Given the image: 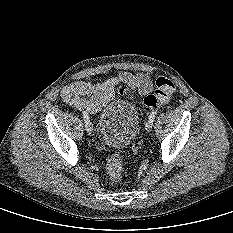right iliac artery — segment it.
I'll use <instances>...</instances> for the list:
<instances>
[{"mask_svg":"<svg viewBox=\"0 0 233 233\" xmlns=\"http://www.w3.org/2000/svg\"><path fill=\"white\" fill-rule=\"evenodd\" d=\"M83 118H84L85 126L87 127L90 124V120L86 112H83Z\"/></svg>","mask_w":233,"mask_h":233,"instance_id":"1","label":"right iliac artery"}]
</instances>
